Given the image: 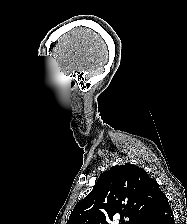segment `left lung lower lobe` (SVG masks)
I'll list each match as a JSON object with an SVG mask.
<instances>
[{
  "mask_svg": "<svg viewBox=\"0 0 187 224\" xmlns=\"http://www.w3.org/2000/svg\"><path fill=\"white\" fill-rule=\"evenodd\" d=\"M146 224H174L172 209L164 193L161 194L157 206Z\"/></svg>",
  "mask_w": 187,
  "mask_h": 224,
  "instance_id": "1",
  "label": "left lung lower lobe"
}]
</instances>
